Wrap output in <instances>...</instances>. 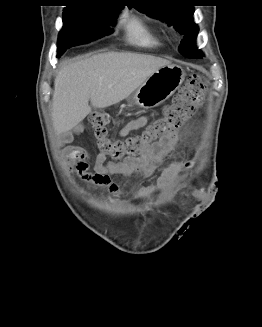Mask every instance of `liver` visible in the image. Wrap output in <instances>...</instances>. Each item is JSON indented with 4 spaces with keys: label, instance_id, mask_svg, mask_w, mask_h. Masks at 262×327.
Listing matches in <instances>:
<instances>
[{
    "label": "liver",
    "instance_id": "liver-1",
    "mask_svg": "<svg viewBox=\"0 0 262 327\" xmlns=\"http://www.w3.org/2000/svg\"><path fill=\"white\" fill-rule=\"evenodd\" d=\"M168 60L136 53L107 52L65 65L56 75L52 121L56 134L77 126L91 106L106 108L127 98Z\"/></svg>",
    "mask_w": 262,
    "mask_h": 327
}]
</instances>
